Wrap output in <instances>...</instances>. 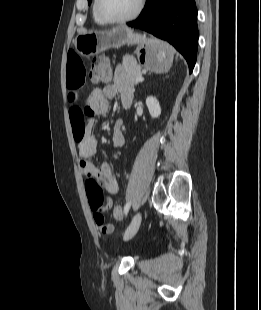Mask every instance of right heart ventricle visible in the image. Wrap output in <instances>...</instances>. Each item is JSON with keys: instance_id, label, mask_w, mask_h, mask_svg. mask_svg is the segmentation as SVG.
<instances>
[{"instance_id": "obj_1", "label": "right heart ventricle", "mask_w": 261, "mask_h": 310, "mask_svg": "<svg viewBox=\"0 0 261 310\" xmlns=\"http://www.w3.org/2000/svg\"><path fill=\"white\" fill-rule=\"evenodd\" d=\"M92 14H93V19L95 21V23H97L98 25H105L106 23H104L103 21H101L98 16L96 15L95 11H94V6L92 8Z\"/></svg>"}]
</instances>
